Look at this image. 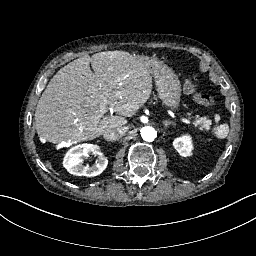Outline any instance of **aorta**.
I'll return each instance as SVG.
<instances>
[{"mask_svg":"<svg viewBox=\"0 0 256 256\" xmlns=\"http://www.w3.org/2000/svg\"><path fill=\"white\" fill-rule=\"evenodd\" d=\"M140 132L142 139L147 142H152L157 137V131L151 126L143 127Z\"/></svg>","mask_w":256,"mask_h":256,"instance_id":"1","label":"aorta"}]
</instances>
